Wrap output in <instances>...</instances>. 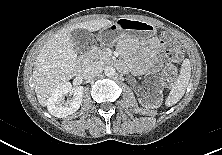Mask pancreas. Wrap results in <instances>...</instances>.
Here are the masks:
<instances>
[{
	"label": "pancreas",
	"instance_id": "obj_1",
	"mask_svg": "<svg viewBox=\"0 0 222 155\" xmlns=\"http://www.w3.org/2000/svg\"><path fill=\"white\" fill-rule=\"evenodd\" d=\"M92 55H93V58L96 61H98L99 63L108 64V63L112 62V59L109 56V54H108L106 49H100V48L95 47L92 50Z\"/></svg>",
	"mask_w": 222,
	"mask_h": 155
}]
</instances>
